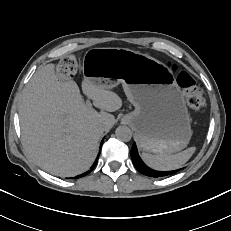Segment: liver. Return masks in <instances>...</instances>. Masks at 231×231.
<instances>
[{"instance_id":"obj_1","label":"liver","mask_w":231,"mask_h":231,"mask_svg":"<svg viewBox=\"0 0 231 231\" xmlns=\"http://www.w3.org/2000/svg\"><path fill=\"white\" fill-rule=\"evenodd\" d=\"M82 89L100 113L84 103L70 77L55 72V64L36 71L22 92L19 119L25 150L53 175L69 177L87 171L96 158L100 137L115 123L108 112L122 107L115 92L85 77Z\"/></svg>"}]
</instances>
